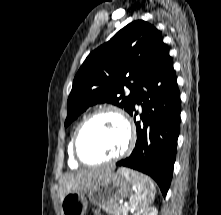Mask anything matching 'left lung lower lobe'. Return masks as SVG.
<instances>
[{"mask_svg": "<svg viewBox=\"0 0 221 215\" xmlns=\"http://www.w3.org/2000/svg\"><path fill=\"white\" fill-rule=\"evenodd\" d=\"M141 102L142 122H135L136 147L116 165L149 175L165 197L176 160L181 107L177 77L164 43L137 89L130 115L138 114L135 104Z\"/></svg>", "mask_w": 221, "mask_h": 215, "instance_id": "obj_1", "label": "left lung lower lobe"}]
</instances>
